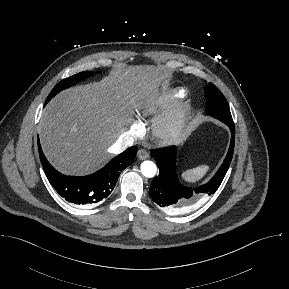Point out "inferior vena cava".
I'll return each instance as SVG.
<instances>
[{"label": "inferior vena cava", "mask_w": 289, "mask_h": 289, "mask_svg": "<svg viewBox=\"0 0 289 289\" xmlns=\"http://www.w3.org/2000/svg\"><path fill=\"white\" fill-rule=\"evenodd\" d=\"M134 139L131 135L127 133H122L117 141L111 146L112 153H119L125 150L127 147L132 146Z\"/></svg>", "instance_id": "obj_1"}]
</instances>
